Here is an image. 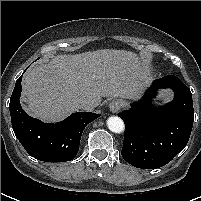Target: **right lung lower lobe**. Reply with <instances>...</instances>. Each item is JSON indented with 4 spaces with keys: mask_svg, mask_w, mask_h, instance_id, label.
<instances>
[{
    "mask_svg": "<svg viewBox=\"0 0 201 201\" xmlns=\"http://www.w3.org/2000/svg\"><path fill=\"white\" fill-rule=\"evenodd\" d=\"M26 71V70H25ZM22 75L10 98L13 131L27 153L44 162H66L75 158L82 132L87 124L100 117L91 112H76L62 122L45 124L30 117L20 105Z\"/></svg>",
    "mask_w": 201,
    "mask_h": 201,
    "instance_id": "obj_1",
    "label": "right lung lower lobe"
}]
</instances>
